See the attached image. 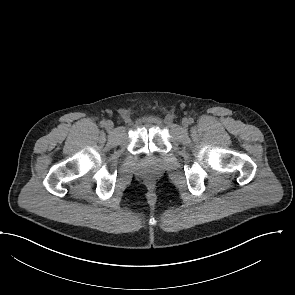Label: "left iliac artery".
<instances>
[{
	"instance_id": "44dca946",
	"label": "left iliac artery",
	"mask_w": 295,
	"mask_h": 295,
	"mask_svg": "<svg viewBox=\"0 0 295 295\" xmlns=\"http://www.w3.org/2000/svg\"><path fill=\"white\" fill-rule=\"evenodd\" d=\"M193 122H194L193 118H189V123L191 124Z\"/></svg>"
}]
</instances>
